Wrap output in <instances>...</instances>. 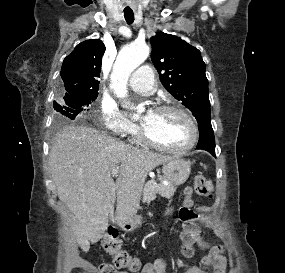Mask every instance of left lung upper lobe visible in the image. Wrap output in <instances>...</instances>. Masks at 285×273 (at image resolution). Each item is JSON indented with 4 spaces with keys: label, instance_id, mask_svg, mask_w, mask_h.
<instances>
[{
    "label": "left lung upper lobe",
    "instance_id": "left-lung-upper-lobe-1",
    "mask_svg": "<svg viewBox=\"0 0 285 273\" xmlns=\"http://www.w3.org/2000/svg\"><path fill=\"white\" fill-rule=\"evenodd\" d=\"M151 59L166 90L191 110L197 122L211 119L208 80L200 51L163 32L150 39Z\"/></svg>",
    "mask_w": 285,
    "mask_h": 273
}]
</instances>
